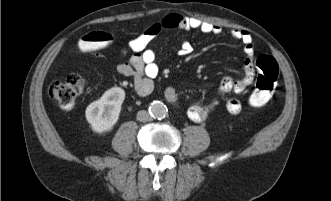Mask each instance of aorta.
<instances>
[{"instance_id":"762f6f07","label":"aorta","mask_w":331,"mask_h":201,"mask_svg":"<svg viewBox=\"0 0 331 201\" xmlns=\"http://www.w3.org/2000/svg\"><path fill=\"white\" fill-rule=\"evenodd\" d=\"M167 107L163 102L154 101L150 106V113L154 118L162 119L167 115Z\"/></svg>"}]
</instances>
